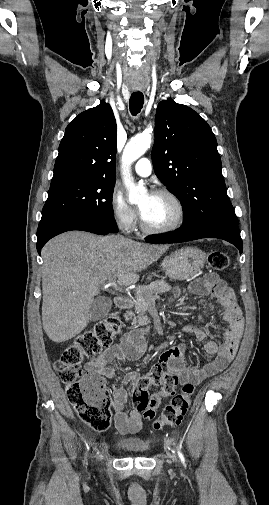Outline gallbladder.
I'll list each match as a JSON object with an SVG mask.
<instances>
[{
    "mask_svg": "<svg viewBox=\"0 0 269 505\" xmlns=\"http://www.w3.org/2000/svg\"><path fill=\"white\" fill-rule=\"evenodd\" d=\"M112 301L106 297L94 299L90 307L91 321H98L105 318L111 310Z\"/></svg>",
    "mask_w": 269,
    "mask_h": 505,
    "instance_id": "bac80fb5",
    "label": "gallbladder"
}]
</instances>
